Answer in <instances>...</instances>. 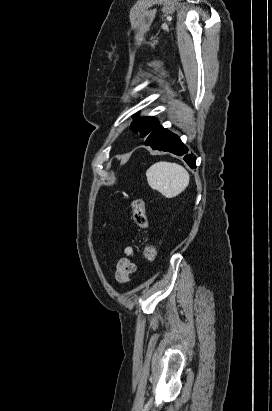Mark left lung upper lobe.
<instances>
[{
	"label": "left lung upper lobe",
	"instance_id": "5c2ea615",
	"mask_svg": "<svg viewBox=\"0 0 272 411\" xmlns=\"http://www.w3.org/2000/svg\"><path fill=\"white\" fill-rule=\"evenodd\" d=\"M134 121L132 122L130 129L134 133H140V137L144 138L148 136L151 132L157 131L162 126L159 125L157 119L152 116L143 117L141 119L137 118V114L133 115Z\"/></svg>",
	"mask_w": 272,
	"mask_h": 411
}]
</instances>
